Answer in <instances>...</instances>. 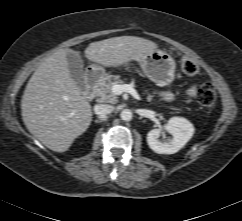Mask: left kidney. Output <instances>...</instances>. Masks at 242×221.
I'll return each instance as SVG.
<instances>
[{"instance_id":"left-kidney-1","label":"left kidney","mask_w":242,"mask_h":221,"mask_svg":"<svg viewBox=\"0 0 242 221\" xmlns=\"http://www.w3.org/2000/svg\"><path fill=\"white\" fill-rule=\"evenodd\" d=\"M165 130L172 135L171 138L161 141V129H153L147 134L149 147L158 154H174L178 152L192 138L194 126L187 119L172 117L165 125Z\"/></svg>"}]
</instances>
